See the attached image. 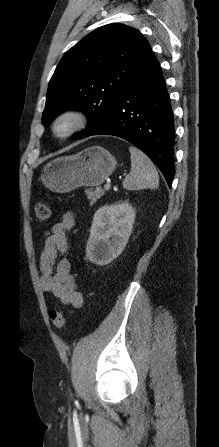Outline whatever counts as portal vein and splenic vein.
<instances>
[{"mask_svg": "<svg viewBox=\"0 0 219 447\" xmlns=\"http://www.w3.org/2000/svg\"><path fill=\"white\" fill-rule=\"evenodd\" d=\"M110 188H111L110 183L107 182V183L104 184V189L105 190H109Z\"/></svg>", "mask_w": 219, "mask_h": 447, "instance_id": "1", "label": "portal vein and splenic vein"}]
</instances>
